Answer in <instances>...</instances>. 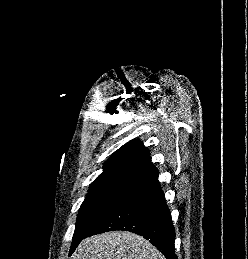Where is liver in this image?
<instances>
[{
  "mask_svg": "<svg viewBox=\"0 0 248 259\" xmlns=\"http://www.w3.org/2000/svg\"><path fill=\"white\" fill-rule=\"evenodd\" d=\"M73 259H166L142 236L113 231L84 239Z\"/></svg>",
  "mask_w": 248,
  "mask_h": 259,
  "instance_id": "6515ba94",
  "label": "liver"
}]
</instances>
